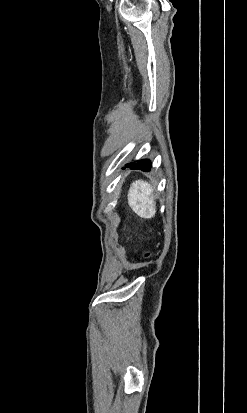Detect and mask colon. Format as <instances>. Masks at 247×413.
Here are the masks:
<instances>
[{
  "label": "colon",
  "instance_id": "colon-1",
  "mask_svg": "<svg viewBox=\"0 0 247 413\" xmlns=\"http://www.w3.org/2000/svg\"><path fill=\"white\" fill-rule=\"evenodd\" d=\"M150 256H151V254H150L149 252H145L144 255H143V257H144L145 259H149Z\"/></svg>",
  "mask_w": 247,
  "mask_h": 413
}]
</instances>
